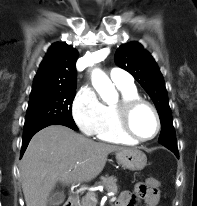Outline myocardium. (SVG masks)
Here are the masks:
<instances>
[{
  "instance_id": "obj_1",
  "label": "myocardium",
  "mask_w": 197,
  "mask_h": 206,
  "mask_svg": "<svg viewBox=\"0 0 197 206\" xmlns=\"http://www.w3.org/2000/svg\"><path fill=\"white\" fill-rule=\"evenodd\" d=\"M147 107L153 113L155 120H156V129L152 136L150 137H140L138 136L131 125V119L133 113L139 107ZM114 111L116 115L117 125L119 130L129 139L136 141V142H146L154 139L161 130V119L156 107L150 103L149 101L141 98V97H122V99L114 105Z\"/></svg>"
}]
</instances>
